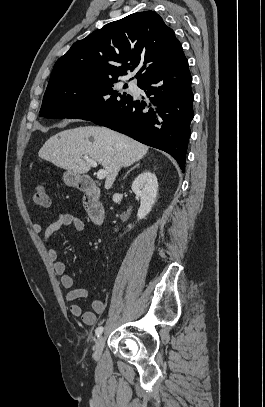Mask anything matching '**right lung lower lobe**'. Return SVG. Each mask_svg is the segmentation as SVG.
<instances>
[{"label":"right lung lower lobe","instance_id":"98d812e1","mask_svg":"<svg viewBox=\"0 0 265 407\" xmlns=\"http://www.w3.org/2000/svg\"><path fill=\"white\" fill-rule=\"evenodd\" d=\"M191 83L183 53L175 62L138 83L148 102L132 98L91 121L169 153L184 172L190 122L194 117Z\"/></svg>","mask_w":265,"mask_h":407}]
</instances>
